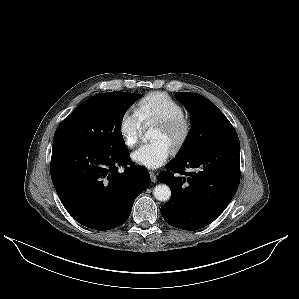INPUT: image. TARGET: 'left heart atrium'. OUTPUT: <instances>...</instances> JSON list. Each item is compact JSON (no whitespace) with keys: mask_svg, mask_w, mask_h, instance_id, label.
<instances>
[{"mask_svg":"<svg viewBox=\"0 0 299 299\" xmlns=\"http://www.w3.org/2000/svg\"><path fill=\"white\" fill-rule=\"evenodd\" d=\"M171 154V147L163 140L142 144L131 155L132 160L146 168L162 166Z\"/></svg>","mask_w":299,"mask_h":299,"instance_id":"39dd6f15","label":"left heart atrium"}]
</instances>
